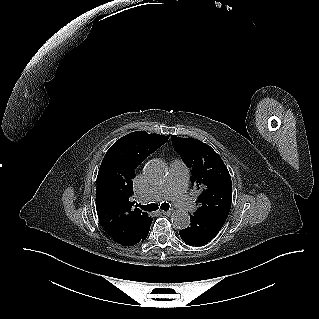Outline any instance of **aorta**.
<instances>
[{
  "instance_id": "762f6f07",
  "label": "aorta",
  "mask_w": 319,
  "mask_h": 319,
  "mask_svg": "<svg viewBox=\"0 0 319 319\" xmlns=\"http://www.w3.org/2000/svg\"><path fill=\"white\" fill-rule=\"evenodd\" d=\"M168 174L166 164L158 159L150 160L144 168L145 177L153 182H160ZM171 222L174 228L185 229L190 224V216L186 211H174L171 215Z\"/></svg>"
}]
</instances>
